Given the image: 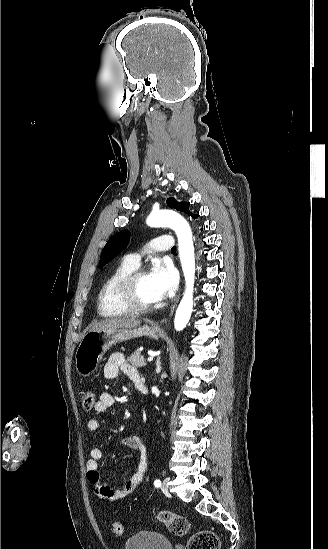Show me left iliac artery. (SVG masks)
I'll return each mask as SVG.
<instances>
[{
	"instance_id": "1",
	"label": "left iliac artery",
	"mask_w": 328,
	"mask_h": 549,
	"mask_svg": "<svg viewBox=\"0 0 328 549\" xmlns=\"http://www.w3.org/2000/svg\"><path fill=\"white\" fill-rule=\"evenodd\" d=\"M154 485H155V487H157V488L160 487V486H161V481H160V480H155V481H154Z\"/></svg>"
}]
</instances>
